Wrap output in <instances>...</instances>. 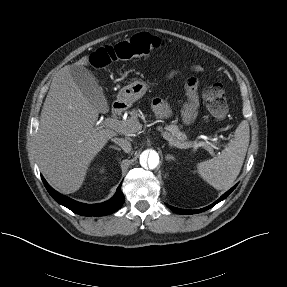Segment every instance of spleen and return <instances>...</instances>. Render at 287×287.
Listing matches in <instances>:
<instances>
[{
	"instance_id": "3e777b00",
	"label": "spleen",
	"mask_w": 287,
	"mask_h": 287,
	"mask_svg": "<svg viewBox=\"0 0 287 287\" xmlns=\"http://www.w3.org/2000/svg\"><path fill=\"white\" fill-rule=\"evenodd\" d=\"M249 140V124L243 120L235 130L234 139L218 156L197 164L198 174L217 190L230 188L242 168Z\"/></svg>"
}]
</instances>
